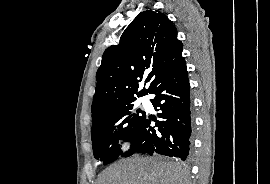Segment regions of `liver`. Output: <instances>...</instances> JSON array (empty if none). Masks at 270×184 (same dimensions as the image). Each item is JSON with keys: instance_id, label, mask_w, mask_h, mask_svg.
<instances>
[{"instance_id": "liver-1", "label": "liver", "mask_w": 270, "mask_h": 184, "mask_svg": "<svg viewBox=\"0 0 270 184\" xmlns=\"http://www.w3.org/2000/svg\"><path fill=\"white\" fill-rule=\"evenodd\" d=\"M187 172L180 163L159 158L133 157L108 167L99 184H186Z\"/></svg>"}]
</instances>
